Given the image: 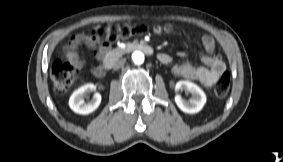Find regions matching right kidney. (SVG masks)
<instances>
[{"instance_id":"ca27d5eb","label":"right kidney","mask_w":283,"mask_h":162,"mask_svg":"<svg viewBox=\"0 0 283 162\" xmlns=\"http://www.w3.org/2000/svg\"><path fill=\"white\" fill-rule=\"evenodd\" d=\"M96 87L94 84L89 83L73 92L69 99L70 108L78 114L86 115L95 111L101 103V95L99 93H95L92 100L88 103H85L84 97L94 91Z\"/></svg>"}]
</instances>
